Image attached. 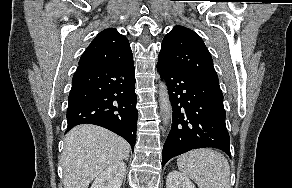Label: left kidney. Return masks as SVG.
Instances as JSON below:
<instances>
[{
	"label": "left kidney",
	"mask_w": 292,
	"mask_h": 188,
	"mask_svg": "<svg viewBox=\"0 0 292 188\" xmlns=\"http://www.w3.org/2000/svg\"><path fill=\"white\" fill-rule=\"evenodd\" d=\"M166 188H196L192 181L182 173L173 170L166 179Z\"/></svg>",
	"instance_id": "left-kidney-1"
}]
</instances>
